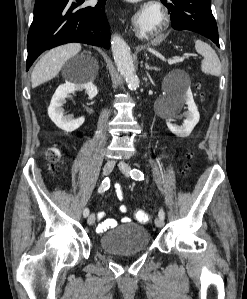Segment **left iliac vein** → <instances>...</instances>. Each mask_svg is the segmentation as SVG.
I'll return each instance as SVG.
<instances>
[{
    "label": "left iliac vein",
    "instance_id": "left-iliac-vein-1",
    "mask_svg": "<svg viewBox=\"0 0 247 299\" xmlns=\"http://www.w3.org/2000/svg\"><path fill=\"white\" fill-rule=\"evenodd\" d=\"M118 167L124 175H126V176L130 175L131 167L126 162H124V161L119 162ZM155 225L157 227L161 228L164 225L163 219H161L160 217H157L155 219Z\"/></svg>",
    "mask_w": 247,
    "mask_h": 299
}]
</instances>
